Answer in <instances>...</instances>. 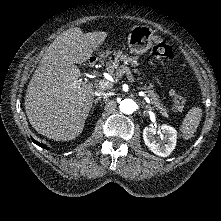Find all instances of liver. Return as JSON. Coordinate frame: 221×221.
I'll use <instances>...</instances> for the list:
<instances>
[{
    "label": "liver",
    "mask_w": 221,
    "mask_h": 221,
    "mask_svg": "<svg viewBox=\"0 0 221 221\" xmlns=\"http://www.w3.org/2000/svg\"><path fill=\"white\" fill-rule=\"evenodd\" d=\"M108 33L83 34L78 27L56 37L42 57L25 95V112L32 127L53 140L69 141L83 131L93 104L91 83L78 80L75 65L86 62Z\"/></svg>",
    "instance_id": "1"
}]
</instances>
